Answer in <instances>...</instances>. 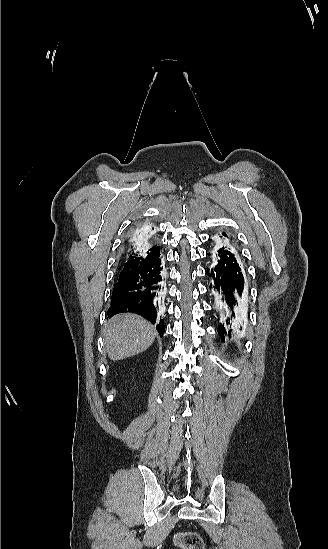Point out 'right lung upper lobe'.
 <instances>
[{"label":"right lung upper lobe","instance_id":"right-lung-upper-lobe-1","mask_svg":"<svg viewBox=\"0 0 328 549\" xmlns=\"http://www.w3.org/2000/svg\"><path fill=\"white\" fill-rule=\"evenodd\" d=\"M160 253L156 229L148 224L137 225L129 234V242L125 245L120 257V277H125L137 270L141 264L151 260Z\"/></svg>","mask_w":328,"mask_h":549}]
</instances>
